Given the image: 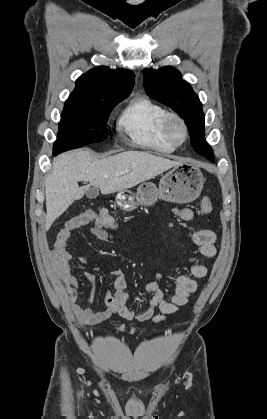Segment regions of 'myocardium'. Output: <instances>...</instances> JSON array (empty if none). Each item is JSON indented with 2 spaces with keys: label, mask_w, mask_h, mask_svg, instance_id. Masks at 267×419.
<instances>
[{
  "label": "myocardium",
  "mask_w": 267,
  "mask_h": 419,
  "mask_svg": "<svg viewBox=\"0 0 267 419\" xmlns=\"http://www.w3.org/2000/svg\"><path fill=\"white\" fill-rule=\"evenodd\" d=\"M174 122L180 124V126L183 129L184 135L181 141H176L171 134V125ZM161 131L165 140L174 147L182 145L187 140L189 134L188 126L184 118L180 114L172 111H167V113L165 114L162 120Z\"/></svg>",
  "instance_id": "myocardium-1"
}]
</instances>
